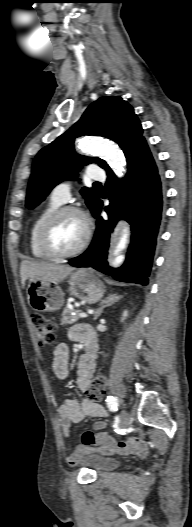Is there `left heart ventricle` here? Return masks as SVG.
<instances>
[{
  "label": "left heart ventricle",
  "mask_w": 192,
  "mask_h": 527,
  "mask_svg": "<svg viewBox=\"0 0 192 527\" xmlns=\"http://www.w3.org/2000/svg\"><path fill=\"white\" fill-rule=\"evenodd\" d=\"M85 234L83 220L76 214H66L55 224L51 242L55 249L66 252L76 248Z\"/></svg>",
  "instance_id": "1"
}]
</instances>
